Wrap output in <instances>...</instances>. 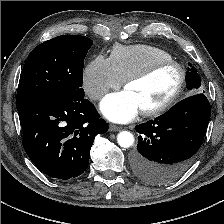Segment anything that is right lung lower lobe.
Segmentation results:
<instances>
[{"label":"right lung lower lobe","mask_w":224,"mask_h":224,"mask_svg":"<svg viewBox=\"0 0 224 224\" xmlns=\"http://www.w3.org/2000/svg\"><path fill=\"white\" fill-rule=\"evenodd\" d=\"M18 114L26 154L44 174L62 180L87 169L95 136L108 130L85 98L44 95L25 103Z\"/></svg>","instance_id":"98d812e1"}]
</instances>
